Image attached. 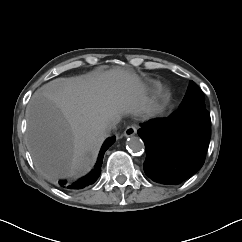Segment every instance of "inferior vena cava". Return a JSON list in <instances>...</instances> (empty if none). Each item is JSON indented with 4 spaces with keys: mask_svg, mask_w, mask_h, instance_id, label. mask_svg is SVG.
I'll return each mask as SVG.
<instances>
[{
    "mask_svg": "<svg viewBox=\"0 0 242 242\" xmlns=\"http://www.w3.org/2000/svg\"><path fill=\"white\" fill-rule=\"evenodd\" d=\"M119 121H120L119 117H114L110 119L105 125V128H104L105 134H108L111 132V130L116 129Z\"/></svg>",
    "mask_w": 242,
    "mask_h": 242,
    "instance_id": "1",
    "label": "inferior vena cava"
}]
</instances>
